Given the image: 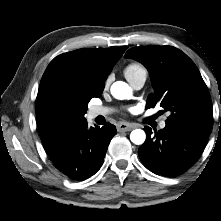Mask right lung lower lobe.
<instances>
[{
  "label": "right lung lower lobe",
  "mask_w": 221,
  "mask_h": 221,
  "mask_svg": "<svg viewBox=\"0 0 221 221\" xmlns=\"http://www.w3.org/2000/svg\"><path fill=\"white\" fill-rule=\"evenodd\" d=\"M115 134L114 125L88 128L85 119L49 157L54 165L70 178L84 180L100 169Z\"/></svg>",
  "instance_id": "1"
}]
</instances>
